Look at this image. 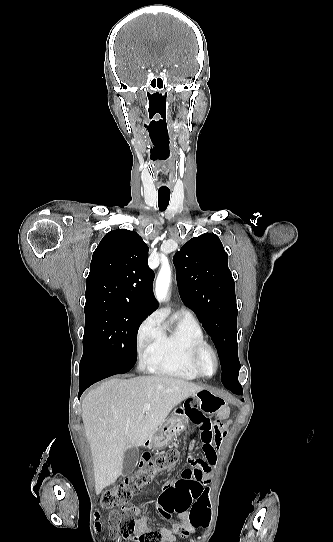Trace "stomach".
Returning a JSON list of instances; mask_svg holds the SVG:
<instances>
[{
	"mask_svg": "<svg viewBox=\"0 0 333 542\" xmlns=\"http://www.w3.org/2000/svg\"><path fill=\"white\" fill-rule=\"evenodd\" d=\"M189 398H191L190 400H196L199 410H201L202 414H207V416L217 414L219 410H222L226 406V400L221 398L219 394L210 392V390H201V392H196V394H192ZM178 420L177 416H172V418L166 420L154 432L153 436L145 442L144 446H147V448H165V446L171 444L173 438H177L184 429L182 425H179ZM185 426H188L187 422Z\"/></svg>",
	"mask_w": 333,
	"mask_h": 542,
	"instance_id": "stomach-1",
	"label": "stomach"
}]
</instances>
